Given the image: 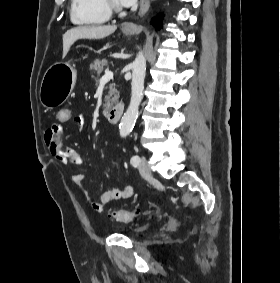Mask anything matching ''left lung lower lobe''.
I'll use <instances>...</instances> for the list:
<instances>
[{"label":"left lung lower lobe","mask_w":280,"mask_h":283,"mask_svg":"<svg viewBox=\"0 0 280 283\" xmlns=\"http://www.w3.org/2000/svg\"><path fill=\"white\" fill-rule=\"evenodd\" d=\"M151 24L155 26V28H157L158 30L161 28V20L160 18L154 17L151 20Z\"/></svg>","instance_id":"1"}]
</instances>
